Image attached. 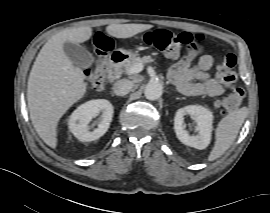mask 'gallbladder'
Instances as JSON below:
<instances>
[{"label":"gallbladder","instance_id":"1","mask_svg":"<svg viewBox=\"0 0 270 213\" xmlns=\"http://www.w3.org/2000/svg\"><path fill=\"white\" fill-rule=\"evenodd\" d=\"M63 50L70 61L80 68H88L94 62L93 55L80 44L66 42Z\"/></svg>","mask_w":270,"mask_h":213}]
</instances>
